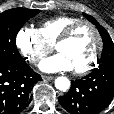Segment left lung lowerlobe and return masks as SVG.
Instances as JSON below:
<instances>
[{"label":"left lung lower lobe","instance_id":"left-lung-lower-lobe-1","mask_svg":"<svg viewBox=\"0 0 114 114\" xmlns=\"http://www.w3.org/2000/svg\"><path fill=\"white\" fill-rule=\"evenodd\" d=\"M113 96L114 64H109L72 81L69 92L60 96L59 102L71 114H97L110 104Z\"/></svg>","mask_w":114,"mask_h":114}]
</instances>
